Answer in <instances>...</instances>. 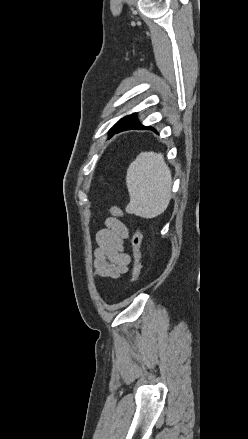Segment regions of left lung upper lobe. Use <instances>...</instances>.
Segmentation results:
<instances>
[{"label":"left lung upper lobe","instance_id":"1","mask_svg":"<svg viewBox=\"0 0 248 439\" xmlns=\"http://www.w3.org/2000/svg\"><path fill=\"white\" fill-rule=\"evenodd\" d=\"M121 120H122V119H121ZM121 120H120V121H121ZM120 121H118L115 125H117ZM115 125H114V126H115ZM114 126H113V127H114ZM113 127H112V128H113ZM112 128H111V129H112Z\"/></svg>","mask_w":248,"mask_h":439}]
</instances>
